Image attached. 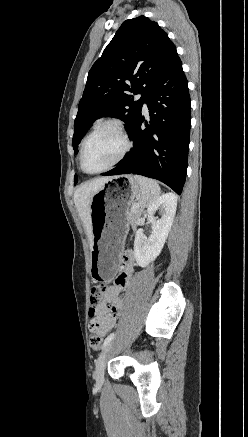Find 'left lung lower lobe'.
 Here are the masks:
<instances>
[{"mask_svg":"<svg viewBox=\"0 0 248 437\" xmlns=\"http://www.w3.org/2000/svg\"><path fill=\"white\" fill-rule=\"evenodd\" d=\"M144 102L149 121L139 113L128 135L133 140L132 151L102 175H143L165 183L180 195L186 178L191 106L179 57L152 85ZM143 122L145 128H141Z\"/></svg>","mask_w":248,"mask_h":437,"instance_id":"1","label":"left lung lower lobe"}]
</instances>
